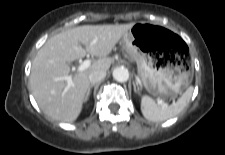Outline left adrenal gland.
Instances as JSON below:
<instances>
[{"instance_id":"obj_1","label":"left adrenal gland","mask_w":225,"mask_h":155,"mask_svg":"<svg viewBox=\"0 0 225 155\" xmlns=\"http://www.w3.org/2000/svg\"><path fill=\"white\" fill-rule=\"evenodd\" d=\"M133 87H134V92H139V89H137L135 82H133Z\"/></svg>"}]
</instances>
